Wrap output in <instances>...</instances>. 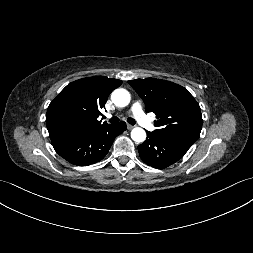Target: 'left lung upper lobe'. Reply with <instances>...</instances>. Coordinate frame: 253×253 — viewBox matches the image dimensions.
Segmentation results:
<instances>
[{
	"label": "left lung upper lobe",
	"instance_id": "1",
	"mask_svg": "<svg viewBox=\"0 0 253 253\" xmlns=\"http://www.w3.org/2000/svg\"><path fill=\"white\" fill-rule=\"evenodd\" d=\"M145 103L146 112H154L157 129L153 134L192 145L202 128L200 106L184 87L156 78L128 81Z\"/></svg>",
	"mask_w": 253,
	"mask_h": 253
}]
</instances>
